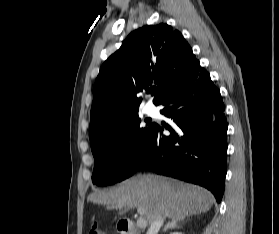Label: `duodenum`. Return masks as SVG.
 Listing matches in <instances>:
<instances>
[{
	"label": "duodenum",
	"instance_id": "1",
	"mask_svg": "<svg viewBox=\"0 0 279 234\" xmlns=\"http://www.w3.org/2000/svg\"><path fill=\"white\" fill-rule=\"evenodd\" d=\"M118 228L122 234H139L133 221L129 219H121Z\"/></svg>",
	"mask_w": 279,
	"mask_h": 234
}]
</instances>
